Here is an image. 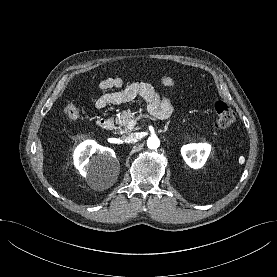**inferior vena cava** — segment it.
<instances>
[{
    "label": "inferior vena cava",
    "instance_id": "602c4592",
    "mask_svg": "<svg viewBox=\"0 0 277 277\" xmlns=\"http://www.w3.org/2000/svg\"><path fill=\"white\" fill-rule=\"evenodd\" d=\"M123 140L125 143H134L138 141V136L135 133L123 135Z\"/></svg>",
    "mask_w": 277,
    "mask_h": 277
}]
</instances>
